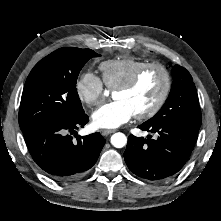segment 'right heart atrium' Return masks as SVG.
<instances>
[{
    "mask_svg": "<svg viewBox=\"0 0 221 221\" xmlns=\"http://www.w3.org/2000/svg\"><path fill=\"white\" fill-rule=\"evenodd\" d=\"M75 91L84 104L93 107L101 103L105 95V86L101 78L90 72H84L76 79Z\"/></svg>",
    "mask_w": 221,
    "mask_h": 221,
    "instance_id": "right-heart-atrium-1",
    "label": "right heart atrium"
}]
</instances>
